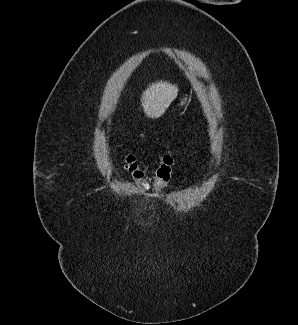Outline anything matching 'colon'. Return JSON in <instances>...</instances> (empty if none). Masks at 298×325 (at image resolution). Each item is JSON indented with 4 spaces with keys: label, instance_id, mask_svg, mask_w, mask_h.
Returning a JSON list of instances; mask_svg holds the SVG:
<instances>
[{
    "label": "colon",
    "instance_id": "1",
    "mask_svg": "<svg viewBox=\"0 0 298 325\" xmlns=\"http://www.w3.org/2000/svg\"><path fill=\"white\" fill-rule=\"evenodd\" d=\"M124 167L141 192H147L151 189L162 190L169 184L171 179L174 155L167 153L161 158L154 174L153 186L149 183L146 172L141 168L134 155H124Z\"/></svg>",
    "mask_w": 298,
    "mask_h": 325
}]
</instances>
